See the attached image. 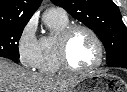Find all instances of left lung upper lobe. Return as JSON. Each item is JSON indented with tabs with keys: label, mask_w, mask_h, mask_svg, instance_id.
<instances>
[{
	"label": "left lung upper lobe",
	"mask_w": 127,
	"mask_h": 92,
	"mask_svg": "<svg viewBox=\"0 0 127 92\" xmlns=\"http://www.w3.org/2000/svg\"><path fill=\"white\" fill-rule=\"evenodd\" d=\"M92 29L107 52V64L127 57V30L112 0H51Z\"/></svg>",
	"instance_id": "1"
}]
</instances>
